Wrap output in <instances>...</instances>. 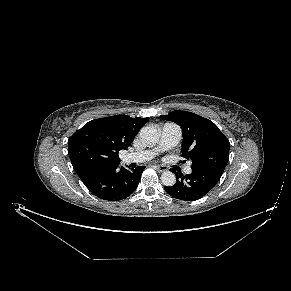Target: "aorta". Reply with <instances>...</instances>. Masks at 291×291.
I'll list each match as a JSON object with an SVG mask.
<instances>
[{"label":"aorta","mask_w":291,"mask_h":291,"mask_svg":"<svg viewBox=\"0 0 291 291\" xmlns=\"http://www.w3.org/2000/svg\"><path fill=\"white\" fill-rule=\"evenodd\" d=\"M160 134L153 126H144L140 130V138L143 142L154 145L158 143ZM161 181L165 186H173L176 182V176L171 171H165L161 175Z\"/></svg>","instance_id":"762f6f07"}]
</instances>
